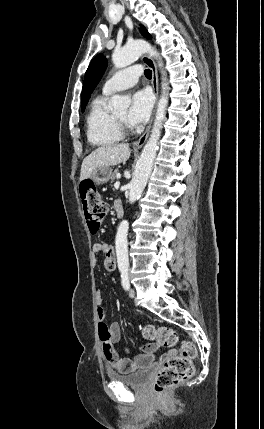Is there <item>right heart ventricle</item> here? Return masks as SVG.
<instances>
[{
  "label": "right heart ventricle",
  "instance_id": "right-heart-ventricle-1",
  "mask_svg": "<svg viewBox=\"0 0 264 429\" xmlns=\"http://www.w3.org/2000/svg\"><path fill=\"white\" fill-rule=\"evenodd\" d=\"M108 95L97 96L91 103L86 118L87 139L93 146L106 147L118 143L122 133L113 115L107 109Z\"/></svg>",
  "mask_w": 264,
  "mask_h": 429
}]
</instances>
